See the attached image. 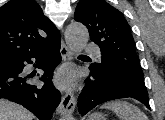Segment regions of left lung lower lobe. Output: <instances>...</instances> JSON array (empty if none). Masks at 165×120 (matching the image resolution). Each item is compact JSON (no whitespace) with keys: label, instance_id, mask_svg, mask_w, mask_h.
Listing matches in <instances>:
<instances>
[{"label":"left lung lower lobe","instance_id":"obj_1","mask_svg":"<svg viewBox=\"0 0 165 120\" xmlns=\"http://www.w3.org/2000/svg\"><path fill=\"white\" fill-rule=\"evenodd\" d=\"M91 73L86 78V86L78 97V109L81 115H85L95 106L106 101L120 98H134L142 102L150 109L146 87L137 85H116L109 79L99 77L93 68L89 67Z\"/></svg>","mask_w":165,"mask_h":120}]
</instances>
